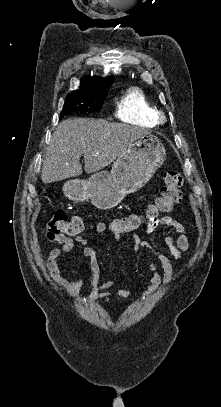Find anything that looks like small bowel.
Segmentation results:
<instances>
[{"label":"small bowel","instance_id":"obj_1","mask_svg":"<svg viewBox=\"0 0 221 407\" xmlns=\"http://www.w3.org/2000/svg\"><path fill=\"white\" fill-rule=\"evenodd\" d=\"M160 226H166L171 228L174 232L178 233V238L174 239L170 234L163 235V243L167 248L170 256L174 260H181L183 254L189 250L190 240L186 233V228L179 220L166 216L158 219H149L147 222L145 232L151 234L156 231ZM115 239L120 236L117 233H112ZM131 238L134 241V251L137 254L143 253L145 250H151L156 255L162 272H160L158 265L155 262L149 260V254L145 253L144 258L149 262V269L152 276L145 290L142 293V299L145 300L150 297L158 287L162 284H167L171 281L173 275V267L171 259L168 255L155 251L152 245L142 239L138 234H131ZM53 243L58 244L53 248L47 258L44 261V267L49 271L53 282L62 290L68 293L69 297L76 299L79 297L84 280L83 279H71L61 275L58 266V258L70 254L75 245L83 247L82 255L89 259V274L88 282L91 286L89 294V301L96 302L101 299H109L113 297L128 298L134 293V289H119L114 292L109 290L114 288L116 282L109 280L104 283L99 282L100 265L96 257L95 251L89 246V240L84 235H77L74 237L58 236L51 239Z\"/></svg>","mask_w":221,"mask_h":407}]
</instances>
